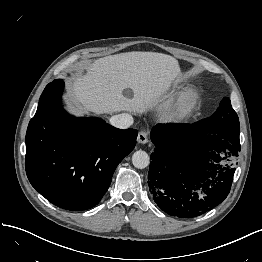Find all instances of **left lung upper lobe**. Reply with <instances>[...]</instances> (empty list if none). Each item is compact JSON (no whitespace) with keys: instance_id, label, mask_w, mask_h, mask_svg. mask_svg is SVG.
<instances>
[{"instance_id":"1","label":"left lung upper lobe","mask_w":262,"mask_h":262,"mask_svg":"<svg viewBox=\"0 0 262 262\" xmlns=\"http://www.w3.org/2000/svg\"><path fill=\"white\" fill-rule=\"evenodd\" d=\"M196 125L211 132L240 130L238 116L227 97L221 101L217 111L211 117L196 122Z\"/></svg>"}]
</instances>
